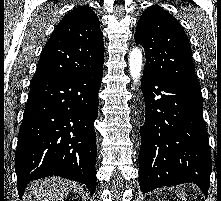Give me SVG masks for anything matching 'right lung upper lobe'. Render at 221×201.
Returning <instances> with one entry per match:
<instances>
[{
    "mask_svg": "<svg viewBox=\"0 0 221 201\" xmlns=\"http://www.w3.org/2000/svg\"><path fill=\"white\" fill-rule=\"evenodd\" d=\"M104 45L99 19L87 6L59 22L42 50L34 77L66 78L103 69Z\"/></svg>",
    "mask_w": 221,
    "mask_h": 201,
    "instance_id": "obj_1",
    "label": "right lung upper lobe"
}]
</instances>
